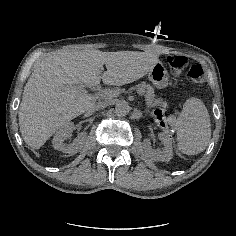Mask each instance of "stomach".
Masks as SVG:
<instances>
[{"mask_svg": "<svg viewBox=\"0 0 236 236\" xmlns=\"http://www.w3.org/2000/svg\"><path fill=\"white\" fill-rule=\"evenodd\" d=\"M149 79L157 88H164L168 84V72L162 64L158 63L150 71Z\"/></svg>", "mask_w": 236, "mask_h": 236, "instance_id": "0dacf381", "label": "stomach"}]
</instances>
